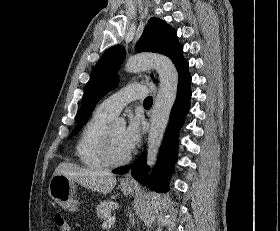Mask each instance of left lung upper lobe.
Listing matches in <instances>:
<instances>
[{
    "instance_id": "left-lung-upper-lobe-1",
    "label": "left lung upper lobe",
    "mask_w": 280,
    "mask_h": 231,
    "mask_svg": "<svg viewBox=\"0 0 280 231\" xmlns=\"http://www.w3.org/2000/svg\"><path fill=\"white\" fill-rule=\"evenodd\" d=\"M135 49L138 53L155 52L168 56L176 66L178 75L188 65L182 56L183 48L177 41L176 31L158 18H151L148 21ZM125 54V49L121 45L110 47L93 68L82 98L79 123L69 138L75 135L87 122L102 96L118 84L117 70L122 64Z\"/></svg>"
}]
</instances>
